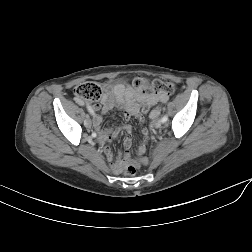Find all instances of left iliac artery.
<instances>
[{
    "label": "left iliac artery",
    "instance_id": "44dca946",
    "mask_svg": "<svg viewBox=\"0 0 252 252\" xmlns=\"http://www.w3.org/2000/svg\"><path fill=\"white\" fill-rule=\"evenodd\" d=\"M168 120V116L167 115H164L162 118H161V122L164 123Z\"/></svg>",
    "mask_w": 252,
    "mask_h": 252
}]
</instances>
